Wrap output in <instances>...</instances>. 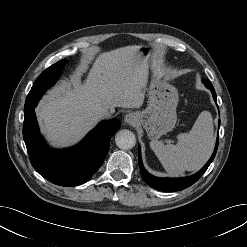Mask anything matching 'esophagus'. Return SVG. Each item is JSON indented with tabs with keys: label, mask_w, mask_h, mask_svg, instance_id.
<instances>
[{
	"label": "esophagus",
	"mask_w": 247,
	"mask_h": 247,
	"mask_svg": "<svg viewBox=\"0 0 247 247\" xmlns=\"http://www.w3.org/2000/svg\"><path fill=\"white\" fill-rule=\"evenodd\" d=\"M125 122L130 125H136L138 123V116L135 113H128L124 118Z\"/></svg>",
	"instance_id": "34e87169"
}]
</instances>
